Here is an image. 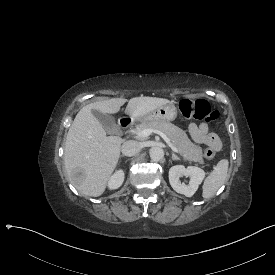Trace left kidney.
<instances>
[{
    "instance_id": "5707ae66",
    "label": "left kidney",
    "mask_w": 275,
    "mask_h": 275,
    "mask_svg": "<svg viewBox=\"0 0 275 275\" xmlns=\"http://www.w3.org/2000/svg\"><path fill=\"white\" fill-rule=\"evenodd\" d=\"M182 176L190 177L188 185L181 183L179 178ZM204 177V170L195 166L185 168L183 165H175L169 170L170 185L177 193L184 194L187 197L194 195Z\"/></svg>"
}]
</instances>
